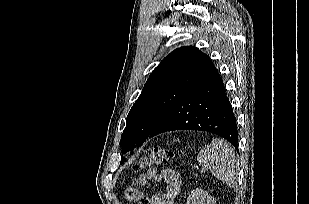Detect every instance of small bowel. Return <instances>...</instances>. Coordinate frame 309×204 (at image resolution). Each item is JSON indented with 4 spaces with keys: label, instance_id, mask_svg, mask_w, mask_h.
<instances>
[{
    "label": "small bowel",
    "instance_id": "c3829d8e",
    "mask_svg": "<svg viewBox=\"0 0 309 204\" xmlns=\"http://www.w3.org/2000/svg\"><path fill=\"white\" fill-rule=\"evenodd\" d=\"M164 181L166 182V190L164 193L154 195L150 199H146L140 191V186L145 185L148 181ZM181 191V178L178 172L172 169L149 168L141 174L135 183L125 190V196L129 200L141 201L142 204H176V199Z\"/></svg>",
    "mask_w": 309,
    "mask_h": 204
}]
</instances>
